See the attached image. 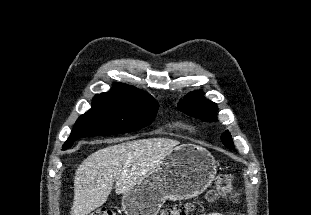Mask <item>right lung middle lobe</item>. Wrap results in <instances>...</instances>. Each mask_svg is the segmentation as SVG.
Wrapping results in <instances>:
<instances>
[{
	"label": "right lung middle lobe",
	"mask_w": 311,
	"mask_h": 215,
	"mask_svg": "<svg viewBox=\"0 0 311 215\" xmlns=\"http://www.w3.org/2000/svg\"><path fill=\"white\" fill-rule=\"evenodd\" d=\"M158 107L155 100L134 101L95 96L92 108L77 119L63 150L83 137L108 136L144 128L153 122Z\"/></svg>",
	"instance_id": "right-lung-middle-lobe-1"
}]
</instances>
